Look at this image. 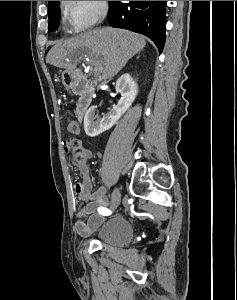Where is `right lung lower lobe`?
<instances>
[{"instance_id":"right-lung-lower-lobe-1","label":"right lung lower lobe","mask_w":237,"mask_h":300,"mask_svg":"<svg viewBox=\"0 0 237 300\" xmlns=\"http://www.w3.org/2000/svg\"><path fill=\"white\" fill-rule=\"evenodd\" d=\"M108 22L148 36L161 52L165 43L166 1H110Z\"/></svg>"}]
</instances>
